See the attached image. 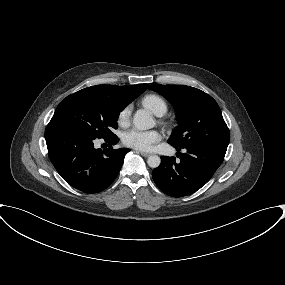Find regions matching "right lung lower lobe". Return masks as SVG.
I'll return each instance as SVG.
<instances>
[{
	"label": "right lung lower lobe",
	"instance_id": "obj_1",
	"mask_svg": "<svg viewBox=\"0 0 285 285\" xmlns=\"http://www.w3.org/2000/svg\"><path fill=\"white\" fill-rule=\"evenodd\" d=\"M48 156L60 176L72 187L98 193L117 177L125 154L130 149L102 151L94 148V138L80 128L60 120L49 122L45 130ZM109 145L118 143L115 135L104 139Z\"/></svg>",
	"mask_w": 285,
	"mask_h": 285
}]
</instances>
